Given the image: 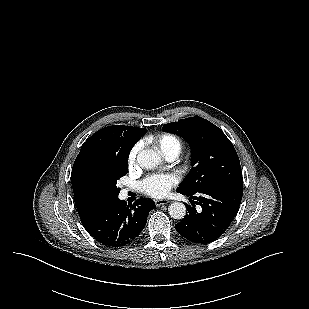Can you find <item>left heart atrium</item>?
Masks as SVG:
<instances>
[{"instance_id": "39dd6f15", "label": "left heart atrium", "mask_w": 309, "mask_h": 309, "mask_svg": "<svg viewBox=\"0 0 309 309\" xmlns=\"http://www.w3.org/2000/svg\"><path fill=\"white\" fill-rule=\"evenodd\" d=\"M177 179L169 174H152L147 176L141 183L142 191L151 197H164L166 196Z\"/></svg>"}]
</instances>
